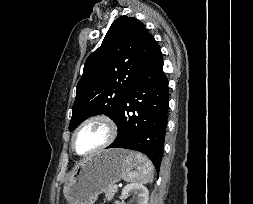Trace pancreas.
I'll return each mask as SVG.
<instances>
[{"instance_id": "1", "label": "pancreas", "mask_w": 253, "mask_h": 204, "mask_svg": "<svg viewBox=\"0 0 253 204\" xmlns=\"http://www.w3.org/2000/svg\"><path fill=\"white\" fill-rule=\"evenodd\" d=\"M117 192V189L114 188V186L109 187V189L105 192V197L107 200H111L115 193Z\"/></svg>"}]
</instances>
